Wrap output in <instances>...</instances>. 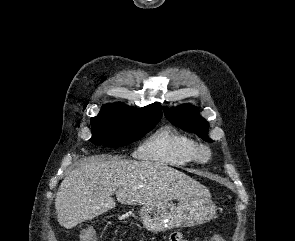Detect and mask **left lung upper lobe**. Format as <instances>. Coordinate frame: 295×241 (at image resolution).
<instances>
[{
  "mask_svg": "<svg viewBox=\"0 0 295 241\" xmlns=\"http://www.w3.org/2000/svg\"><path fill=\"white\" fill-rule=\"evenodd\" d=\"M166 118L186 131L194 132L205 141H210L207 137L208 123L202 118L193 106L183 105L178 108H164Z\"/></svg>",
  "mask_w": 295,
  "mask_h": 241,
  "instance_id": "left-lung-upper-lobe-1",
  "label": "left lung upper lobe"
}]
</instances>
